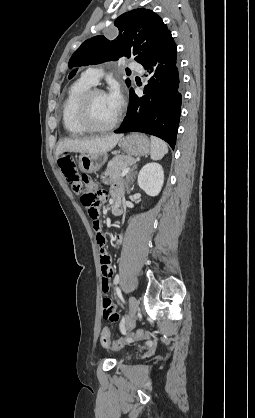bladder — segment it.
<instances>
[{
    "instance_id": "1",
    "label": "bladder",
    "mask_w": 255,
    "mask_h": 418,
    "mask_svg": "<svg viewBox=\"0 0 255 418\" xmlns=\"http://www.w3.org/2000/svg\"><path fill=\"white\" fill-rule=\"evenodd\" d=\"M124 357L129 358V357H131V354L130 353H124Z\"/></svg>"
}]
</instances>
